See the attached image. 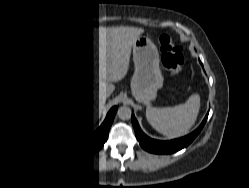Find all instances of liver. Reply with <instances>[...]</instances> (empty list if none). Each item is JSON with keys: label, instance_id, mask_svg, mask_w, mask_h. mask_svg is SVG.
Segmentation results:
<instances>
[{"label": "liver", "instance_id": "6515ba94", "mask_svg": "<svg viewBox=\"0 0 249 188\" xmlns=\"http://www.w3.org/2000/svg\"><path fill=\"white\" fill-rule=\"evenodd\" d=\"M142 33L144 29L136 27L94 29V124L101 116L105 98L114 89L112 81L124 75L131 47Z\"/></svg>", "mask_w": 249, "mask_h": 188}]
</instances>
